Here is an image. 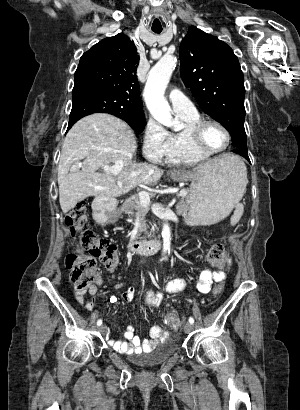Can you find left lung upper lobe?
Here are the masks:
<instances>
[{
  "label": "left lung upper lobe",
  "instance_id": "5c2ea615",
  "mask_svg": "<svg viewBox=\"0 0 300 410\" xmlns=\"http://www.w3.org/2000/svg\"><path fill=\"white\" fill-rule=\"evenodd\" d=\"M181 77L200 108L247 152L244 78L237 56L223 41L191 26L180 44Z\"/></svg>",
  "mask_w": 300,
  "mask_h": 410
}]
</instances>
